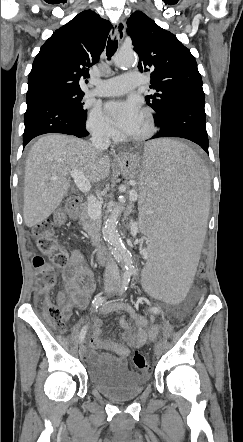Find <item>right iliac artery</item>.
Wrapping results in <instances>:
<instances>
[{
  "mask_svg": "<svg viewBox=\"0 0 243 442\" xmlns=\"http://www.w3.org/2000/svg\"><path fill=\"white\" fill-rule=\"evenodd\" d=\"M130 277H131V273L130 272H125L124 276H123V281H122V285H121V292H124L127 290L129 281H130ZM105 301V297L102 296H96L94 298V300L92 301V310H97ZM86 331H87V325H85L80 332L79 335V340L80 342H82L85 338L86 335Z\"/></svg>",
  "mask_w": 243,
  "mask_h": 442,
  "instance_id": "82829eb1",
  "label": "right iliac artery"
}]
</instances>
